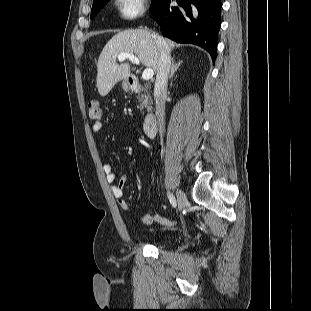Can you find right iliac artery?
I'll return each instance as SVG.
<instances>
[{
  "mask_svg": "<svg viewBox=\"0 0 311 311\" xmlns=\"http://www.w3.org/2000/svg\"><path fill=\"white\" fill-rule=\"evenodd\" d=\"M168 198L170 200V203L172 204L173 207H176V199L175 197L173 196V194H168Z\"/></svg>",
  "mask_w": 311,
  "mask_h": 311,
  "instance_id": "1",
  "label": "right iliac artery"
}]
</instances>
